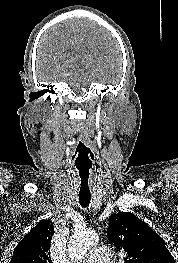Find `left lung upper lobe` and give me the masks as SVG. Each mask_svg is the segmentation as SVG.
Segmentation results:
<instances>
[{
  "instance_id": "5c2ea615",
  "label": "left lung upper lobe",
  "mask_w": 178,
  "mask_h": 263,
  "mask_svg": "<svg viewBox=\"0 0 178 263\" xmlns=\"http://www.w3.org/2000/svg\"><path fill=\"white\" fill-rule=\"evenodd\" d=\"M107 230L108 240L127 253L124 263H175L163 238L130 212L113 214Z\"/></svg>"
}]
</instances>
